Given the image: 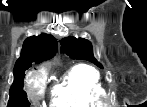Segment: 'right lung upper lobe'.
<instances>
[{
    "label": "right lung upper lobe",
    "mask_w": 147,
    "mask_h": 107,
    "mask_svg": "<svg viewBox=\"0 0 147 107\" xmlns=\"http://www.w3.org/2000/svg\"><path fill=\"white\" fill-rule=\"evenodd\" d=\"M57 49V41L52 35L42 33L28 37L24 41L21 57L16 61L14 75L25 66L32 65V63L39 64L53 58Z\"/></svg>",
    "instance_id": "right-lung-upper-lobe-1"
}]
</instances>
